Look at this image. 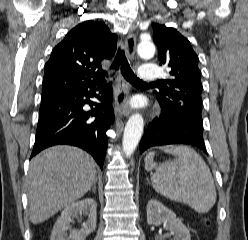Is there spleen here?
<instances>
[{
	"label": "spleen",
	"mask_w": 248,
	"mask_h": 240,
	"mask_svg": "<svg viewBox=\"0 0 248 240\" xmlns=\"http://www.w3.org/2000/svg\"><path fill=\"white\" fill-rule=\"evenodd\" d=\"M176 159L157 165L155 152L145 157V169L155 173L151 176L152 186L160 195L176 202L189 205L198 213H207L216 202V188L209 167L202 157L185 145L164 148Z\"/></svg>",
	"instance_id": "3e777b00"
}]
</instances>
